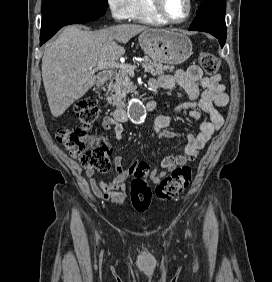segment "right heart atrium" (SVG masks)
I'll list each match as a JSON object with an SVG mask.
<instances>
[{"label":"right heart atrium","instance_id":"obj_1","mask_svg":"<svg viewBox=\"0 0 272 282\" xmlns=\"http://www.w3.org/2000/svg\"><path fill=\"white\" fill-rule=\"evenodd\" d=\"M136 0H106L111 17L121 22L132 18L137 10Z\"/></svg>","mask_w":272,"mask_h":282}]
</instances>
